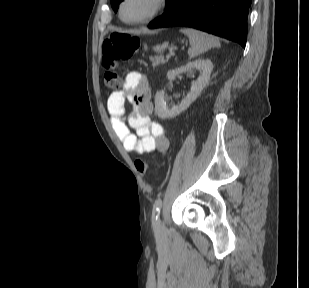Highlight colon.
Instances as JSON below:
<instances>
[{"mask_svg": "<svg viewBox=\"0 0 309 288\" xmlns=\"http://www.w3.org/2000/svg\"><path fill=\"white\" fill-rule=\"evenodd\" d=\"M140 41L135 36L124 33H112L102 45L103 84L107 88L117 89L121 85L119 77L120 62L131 58L139 49ZM136 169L144 174L149 164L142 159L135 161Z\"/></svg>", "mask_w": 309, "mask_h": 288, "instance_id": "1", "label": "colon"}]
</instances>
